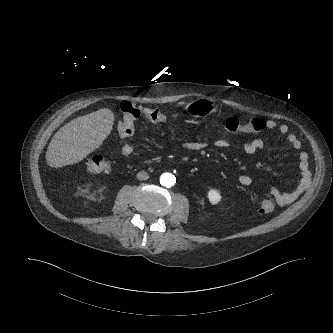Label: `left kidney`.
I'll return each mask as SVG.
<instances>
[{
  "label": "left kidney",
  "mask_w": 333,
  "mask_h": 333,
  "mask_svg": "<svg viewBox=\"0 0 333 333\" xmlns=\"http://www.w3.org/2000/svg\"><path fill=\"white\" fill-rule=\"evenodd\" d=\"M208 199L211 202V204L215 205L221 201V195L217 190L210 189L208 191Z\"/></svg>",
  "instance_id": "left-kidney-1"
}]
</instances>
